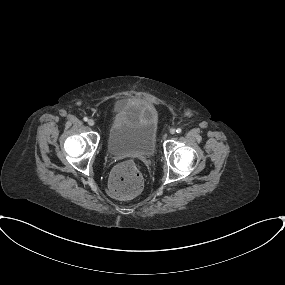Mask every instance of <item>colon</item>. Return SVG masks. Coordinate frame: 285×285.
<instances>
[{
  "label": "colon",
  "mask_w": 285,
  "mask_h": 285,
  "mask_svg": "<svg viewBox=\"0 0 285 285\" xmlns=\"http://www.w3.org/2000/svg\"><path fill=\"white\" fill-rule=\"evenodd\" d=\"M110 194L119 199H130L143 190V176L133 163H122L112 172L108 181Z\"/></svg>",
  "instance_id": "colon-1"
}]
</instances>
